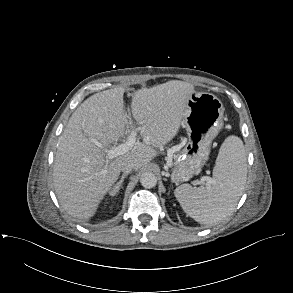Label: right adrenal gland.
<instances>
[{"label": "right adrenal gland", "mask_w": 293, "mask_h": 293, "mask_svg": "<svg viewBox=\"0 0 293 293\" xmlns=\"http://www.w3.org/2000/svg\"><path fill=\"white\" fill-rule=\"evenodd\" d=\"M126 177H127V174H123V175H122L120 181H119V182L114 186V188L111 190V192H110V195H111V196H115V195L119 192L120 188L122 187L123 181H124V179H125Z\"/></svg>", "instance_id": "obj_1"}]
</instances>
